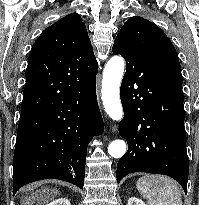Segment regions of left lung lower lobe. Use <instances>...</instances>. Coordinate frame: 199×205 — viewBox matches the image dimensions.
Wrapping results in <instances>:
<instances>
[{"label":"left lung lower lobe","mask_w":199,"mask_h":205,"mask_svg":"<svg viewBox=\"0 0 199 205\" xmlns=\"http://www.w3.org/2000/svg\"><path fill=\"white\" fill-rule=\"evenodd\" d=\"M112 51L126 60L120 88L124 118L119 133L128 142V151L118 161L117 182L133 172L164 174L187 192L189 162L182 90L124 43L114 42Z\"/></svg>","instance_id":"left-lung-lower-lobe-1"}]
</instances>
